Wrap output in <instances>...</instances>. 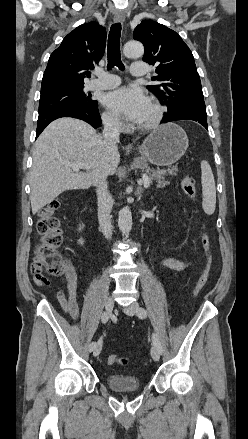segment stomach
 I'll list each match as a JSON object with an SVG mask.
<instances>
[{
  "label": "stomach",
  "instance_id": "stomach-1",
  "mask_svg": "<svg viewBox=\"0 0 248 439\" xmlns=\"http://www.w3.org/2000/svg\"><path fill=\"white\" fill-rule=\"evenodd\" d=\"M188 146L186 132L175 123H168L151 132L139 150L150 163L170 166L185 154Z\"/></svg>",
  "mask_w": 248,
  "mask_h": 439
}]
</instances>
